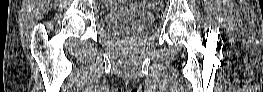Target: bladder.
<instances>
[{
  "label": "bladder",
  "instance_id": "obj_1",
  "mask_svg": "<svg viewBox=\"0 0 263 92\" xmlns=\"http://www.w3.org/2000/svg\"><path fill=\"white\" fill-rule=\"evenodd\" d=\"M105 23L116 30L147 29L153 23V14L147 9H116L105 14Z\"/></svg>",
  "mask_w": 263,
  "mask_h": 92
}]
</instances>
